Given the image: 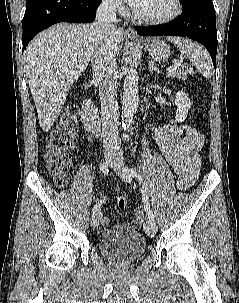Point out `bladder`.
I'll return each instance as SVG.
<instances>
[{
  "label": "bladder",
  "instance_id": "1",
  "mask_svg": "<svg viewBox=\"0 0 239 303\" xmlns=\"http://www.w3.org/2000/svg\"><path fill=\"white\" fill-rule=\"evenodd\" d=\"M101 254L123 264H130L145 251V243L139 233H127L99 243Z\"/></svg>",
  "mask_w": 239,
  "mask_h": 303
}]
</instances>
